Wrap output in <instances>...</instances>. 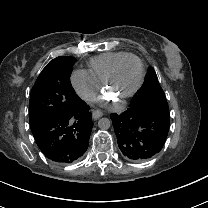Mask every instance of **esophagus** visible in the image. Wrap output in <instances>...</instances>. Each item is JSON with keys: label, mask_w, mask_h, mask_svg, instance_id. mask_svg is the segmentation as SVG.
Segmentation results:
<instances>
[{"label": "esophagus", "mask_w": 208, "mask_h": 208, "mask_svg": "<svg viewBox=\"0 0 208 208\" xmlns=\"http://www.w3.org/2000/svg\"><path fill=\"white\" fill-rule=\"evenodd\" d=\"M103 116V113L102 112H100V111H93L92 112V117H93V119H99L100 117H102Z\"/></svg>", "instance_id": "esophagus-1"}]
</instances>
